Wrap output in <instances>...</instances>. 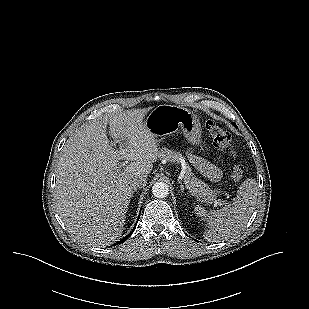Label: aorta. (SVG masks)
I'll return each instance as SVG.
<instances>
[{
    "label": "aorta",
    "mask_w": 309,
    "mask_h": 309,
    "mask_svg": "<svg viewBox=\"0 0 309 309\" xmlns=\"http://www.w3.org/2000/svg\"><path fill=\"white\" fill-rule=\"evenodd\" d=\"M152 193L157 198H165L169 194V187L166 183L156 182L152 187Z\"/></svg>",
    "instance_id": "1"
}]
</instances>
